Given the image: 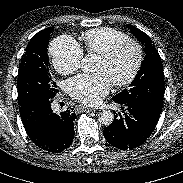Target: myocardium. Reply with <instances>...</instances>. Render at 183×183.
I'll return each mask as SVG.
<instances>
[{
  "instance_id": "myocardium-1",
  "label": "myocardium",
  "mask_w": 183,
  "mask_h": 183,
  "mask_svg": "<svg viewBox=\"0 0 183 183\" xmlns=\"http://www.w3.org/2000/svg\"><path fill=\"white\" fill-rule=\"evenodd\" d=\"M127 46H133L136 49L137 57H136V62L135 65L131 71V73L124 79L114 81L112 84L116 87H124L129 84H131L136 77L138 76L142 65H143V60H144V53H143V48L140 43H138L135 40L128 39L125 41H121L107 49L106 51L102 52L99 54V57L105 61H110L112 60L123 48Z\"/></svg>"
}]
</instances>
